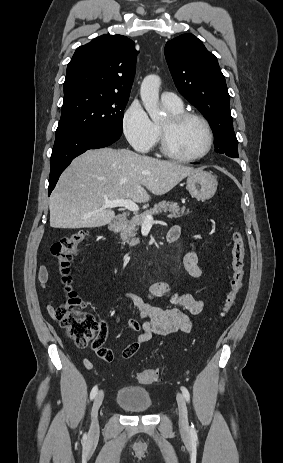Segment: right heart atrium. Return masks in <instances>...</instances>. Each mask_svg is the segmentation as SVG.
Wrapping results in <instances>:
<instances>
[{
    "label": "right heart atrium",
    "instance_id": "right-heart-atrium-1",
    "mask_svg": "<svg viewBox=\"0 0 283 463\" xmlns=\"http://www.w3.org/2000/svg\"><path fill=\"white\" fill-rule=\"evenodd\" d=\"M124 135L139 152H148L157 142L159 131L139 101L132 102L122 120Z\"/></svg>",
    "mask_w": 283,
    "mask_h": 463
}]
</instances>
